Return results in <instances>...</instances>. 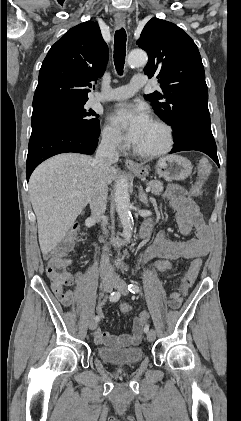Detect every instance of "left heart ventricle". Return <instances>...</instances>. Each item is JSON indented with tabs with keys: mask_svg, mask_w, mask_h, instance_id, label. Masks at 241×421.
Masks as SVG:
<instances>
[{
	"mask_svg": "<svg viewBox=\"0 0 241 421\" xmlns=\"http://www.w3.org/2000/svg\"><path fill=\"white\" fill-rule=\"evenodd\" d=\"M165 143V133L161 127L150 122L135 146L141 150L153 151L160 149Z\"/></svg>",
	"mask_w": 241,
	"mask_h": 421,
	"instance_id": "1",
	"label": "left heart ventricle"
}]
</instances>
